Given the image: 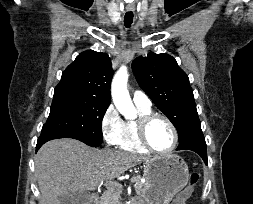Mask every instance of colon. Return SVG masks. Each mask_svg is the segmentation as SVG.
Instances as JSON below:
<instances>
[{"instance_id":"obj_1","label":"colon","mask_w":253,"mask_h":204,"mask_svg":"<svg viewBox=\"0 0 253 204\" xmlns=\"http://www.w3.org/2000/svg\"><path fill=\"white\" fill-rule=\"evenodd\" d=\"M199 181V174L194 172L189 176V183L178 193L173 204H185L191 197L194 187Z\"/></svg>"}]
</instances>
